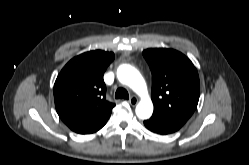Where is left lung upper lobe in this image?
<instances>
[{
	"instance_id": "5c2ea615",
	"label": "left lung upper lobe",
	"mask_w": 249,
	"mask_h": 165,
	"mask_svg": "<svg viewBox=\"0 0 249 165\" xmlns=\"http://www.w3.org/2000/svg\"><path fill=\"white\" fill-rule=\"evenodd\" d=\"M152 73L153 115L186 123L194 113L200 95L199 76L182 53L166 48L143 51Z\"/></svg>"
}]
</instances>
